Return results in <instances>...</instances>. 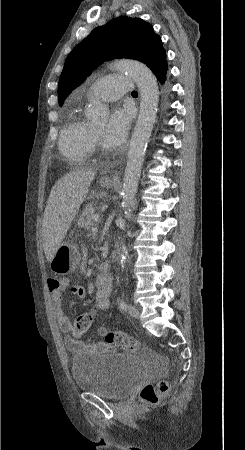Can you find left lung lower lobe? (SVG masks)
Masks as SVG:
<instances>
[{
  "label": "left lung lower lobe",
  "instance_id": "1",
  "mask_svg": "<svg viewBox=\"0 0 245 450\" xmlns=\"http://www.w3.org/2000/svg\"><path fill=\"white\" fill-rule=\"evenodd\" d=\"M166 71H167V62L165 61L161 63L155 70H153V73L159 79V81L164 82Z\"/></svg>",
  "mask_w": 245,
  "mask_h": 450
}]
</instances>
